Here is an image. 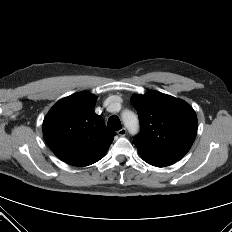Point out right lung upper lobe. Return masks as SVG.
<instances>
[{
  "instance_id": "obj_1",
  "label": "right lung upper lobe",
  "mask_w": 232,
  "mask_h": 232,
  "mask_svg": "<svg viewBox=\"0 0 232 232\" xmlns=\"http://www.w3.org/2000/svg\"><path fill=\"white\" fill-rule=\"evenodd\" d=\"M96 96L76 93L59 100L43 122V136L62 161L84 167L99 161L107 152L115 133L94 112Z\"/></svg>"
}]
</instances>
